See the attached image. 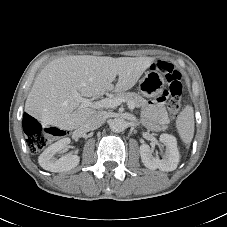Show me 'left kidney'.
<instances>
[{
    "label": "left kidney",
    "mask_w": 227,
    "mask_h": 227,
    "mask_svg": "<svg viewBox=\"0 0 227 227\" xmlns=\"http://www.w3.org/2000/svg\"><path fill=\"white\" fill-rule=\"evenodd\" d=\"M159 140L166 146V153L163 159L152 155L150 146L142 144L140 146V156L145 167L162 171H173L177 168L180 155L177 148V141L173 135L161 134Z\"/></svg>",
    "instance_id": "obj_1"
}]
</instances>
